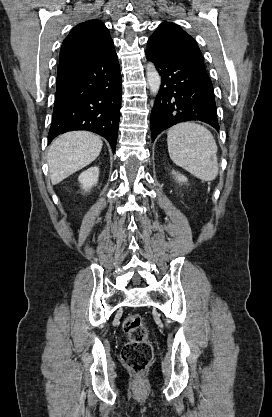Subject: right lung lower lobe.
Wrapping results in <instances>:
<instances>
[{"label": "right lung lower lobe", "instance_id": "obj_1", "mask_svg": "<svg viewBox=\"0 0 272 417\" xmlns=\"http://www.w3.org/2000/svg\"><path fill=\"white\" fill-rule=\"evenodd\" d=\"M48 143L59 134L88 130L116 148L122 79L113 42L87 61L59 64Z\"/></svg>", "mask_w": 272, "mask_h": 417}]
</instances>
